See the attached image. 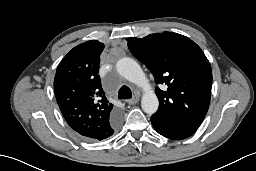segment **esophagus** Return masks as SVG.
Wrapping results in <instances>:
<instances>
[{"mask_svg":"<svg viewBox=\"0 0 256 171\" xmlns=\"http://www.w3.org/2000/svg\"><path fill=\"white\" fill-rule=\"evenodd\" d=\"M139 101V97L138 96H134L132 99L128 100L127 103L129 105H134Z\"/></svg>","mask_w":256,"mask_h":171,"instance_id":"34e87169","label":"esophagus"}]
</instances>
